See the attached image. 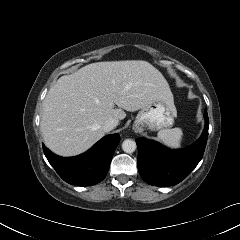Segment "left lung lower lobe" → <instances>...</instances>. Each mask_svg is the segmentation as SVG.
Returning a JSON list of instances; mask_svg holds the SVG:
<instances>
[{"label": "left lung lower lobe", "instance_id": "0a47b994", "mask_svg": "<svg viewBox=\"0 0 240 240\" xmlns=\"http://www.w3.org/2000/svg\"><path fill=\"white\" fill-rule=\"evenodd\" d=\"M205 127L195 144L180 150L168 149L145 138H137L138 170L142 179L153 186H172L186 178L201 160L208 137L209 120L205 112Z\"/></svg>", "mask_w": 240, "mask_h": 240}]
</instances>
